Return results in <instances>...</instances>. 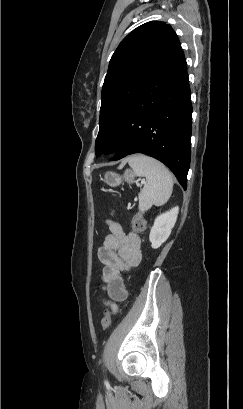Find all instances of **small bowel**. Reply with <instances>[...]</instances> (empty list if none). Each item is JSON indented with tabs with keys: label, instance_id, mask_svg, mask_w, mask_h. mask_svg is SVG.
Wrapping results in <instances>:
<instances>
[{
	"label": "small bowel",
	"instance_id": "c3829d8e",
	"mask_svg": "<svg viewBox=\"0 0 243 409\" xmlns=\"http://www.w3.org/2000/svg\"><path fill=\"white\" fill-rule=\"evenodd\" d=\"M107 224L110 232L104 237L98 256L103 264L102 290L111 299L105 303L112 305L113 302H121L127 298L122 273L129 272L140 263L142 252L137 234L125 233L121 224L116 221L109 220Z\"/></svg>",
	"mask_w": 243,
	"mask_h": 409
}]
</instances>
